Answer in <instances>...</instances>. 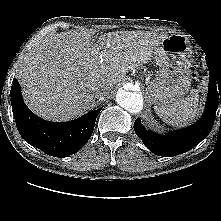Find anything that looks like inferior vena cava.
I'll return each instance as SVG.
<instances>
[{
	"label": "inferior vena cava",
	"mask_w": 221,
	"mask_h": 221,
	"mask_svg": "<svg viewBox=\"0 0 221 221\" xmlns=\"http://www.w3.org/2000/svg\"><path fill=\"white\" fill-rule=\"evenodd\" d=\"M106 93H108V89L106 86H99V87H96L94 90V96L96 98H100L104 96Z\"/></svg>",
	"instance_id": "1"
}]
</instances>
